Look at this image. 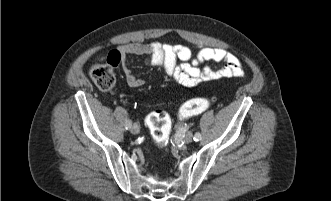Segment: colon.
<instances>
[{
	"label": "colon",
	"instance_id": "colon-1",
	"mask_svg": "<svg viewBox=\"0 0 331 201\" xmlns=\"http://www.w3.org/2000/svg\"><path fill=\"white\" fill-rule=\"evenodd\" d=\"M90 77L102 91H109L114 87L115 76L112 63H97L90 70ZM212 101L198 97L183 104L179 111L180 118H187L210 108ZM147 125L155 142L163 145L169 138L172 122L169 115L162 110H156L147 117Z\"/></svg>",
	"mask_w": 331,
	"mask_h": 201
}]
</instances>
